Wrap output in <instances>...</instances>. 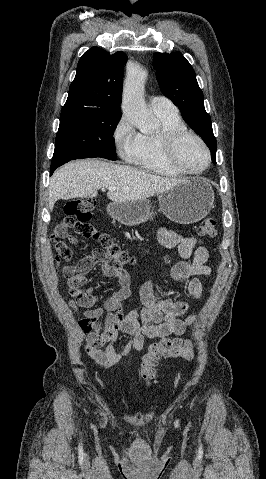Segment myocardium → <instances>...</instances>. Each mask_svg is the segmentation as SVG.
<instances>
[{
    "mask_svg": "<svg viewBox=\"0 0 266 479\" xmlns=\"http://www.w3.org/2000/svg\"><path fill=\"white\" fill-rule=\"evenodd\" d=\"M194 138L197 140L200 145L203 147L206 157H207V162L206 165L199 170H189L185 168L180 161L178 160V147L180 143L185 139V138ZM162 146H163V155L166 160V162L176 171H178L181 174H186V175H199L204 173L211 165L212 163V155L211 151L207 145V143L204 141V139L199 136L197 133L190 131L188 129H172V130H166L162 133Z\"/></svg>",
    "mask_w": 266,
    "mask_h": 479,
    "instance_id": "1",
    "label": "myocardium"
}]
</instances>
